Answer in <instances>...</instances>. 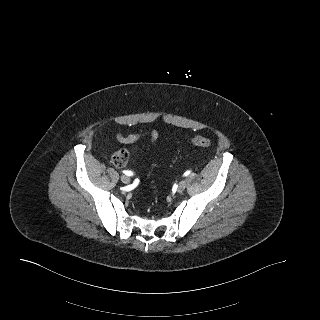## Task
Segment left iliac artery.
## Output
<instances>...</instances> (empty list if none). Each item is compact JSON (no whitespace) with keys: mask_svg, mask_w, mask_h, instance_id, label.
I'll return each mask as SVG.
<instances>
[{"mask_svg":"<svg viewBox=\"0 0 320 320\" xmlns=\"http://www.w3.org/2000/svg\"><path fill=\"white\" fill-rule=\"evenodd\" d=\"M191 173V171H186L185 173H184V176H188L189 174Z\"/></svg>","mask_w":320,"mask_h":320,"instance_id":"obj_1","label":"left iliac artery"}]
</instances>
